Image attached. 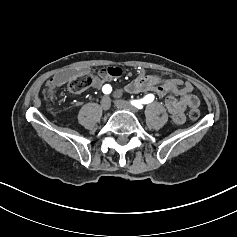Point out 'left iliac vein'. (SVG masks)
<instances>
[{"mask_svg":"<svg viewBox=\"0 0 237 237\" xmlns=\"http://www.w3.org/2000/svg\"><path fill=\"white\" fill-rule=\"evenodd\" d=\"M114 104H115V106H116L118 109L127 110V111H130V112H132V113H137V112H138L137 108H135L134 106L130 105V104L127 103L126 101H123V100H115V101H114Z\"/></svg>","mask_w":237,"mask_h":237,"instance_id":"obj_1","label":"left iliac vein"}]
</instances>
